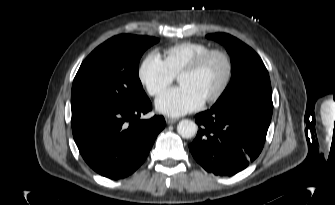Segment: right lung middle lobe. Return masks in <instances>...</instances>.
Listing matches in <instances>:
<instances>
[{
    "label": "right lung middle lobe",
    "mask_w": 335,
    "mask_h": 205,
    "mask_svg": "<svg viewBox=\"0 0 335 205\" xmlns=\"http://www.w3.org/2000/svg\"><path fill=\"white\" fill-rule=\"evenodd\" d=\"M158 41L149 36L122 34L98 46L74 78L71 109L127 106L145 98L138 63L144 51Z\"/></svg>",
    "instance_id": "1"
}]
</instances>
